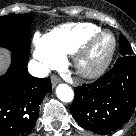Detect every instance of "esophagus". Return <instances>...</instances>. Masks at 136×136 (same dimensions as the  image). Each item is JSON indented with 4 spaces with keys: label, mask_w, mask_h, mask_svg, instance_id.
I'll use <instances>...</instances> for the list:
<instances>
[{
    "label": "esophagus",
    "mask_w": 136,
    "mask_h": 136,
    "mask_svg": "<svg viewBox=\"0 0 136 136\" xmlns=\"http://www.w3.org/2000/svg\"><path fill=\"white\" fill-rule=\"evenodd\" d=\"M59 82H60V78H59V77H57V76H55V75H53V76L51 77V83H52V86H53V87H55Z\"/></svg>",
    "instance_id": "34e87169"
}]
</instances>
